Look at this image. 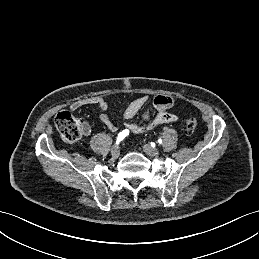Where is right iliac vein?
<instances>
[{"instance_id": "63e3f726", "label": "right iliac vein", "mask_w": 259, "mask_h": 259, "mask_svg": "<svg viewBox=\"0 0 259 259\" xmlns=\"http://www.w3.org/2000/svg\"><path fill=\"white\" fill-rule=\"evenodd\" d=\"M111 155H112V157L113 158H118V156H119V154H120V148H119V146L118 145H114V146H112V148H111Z\"/></svg>"}]
</instances>
